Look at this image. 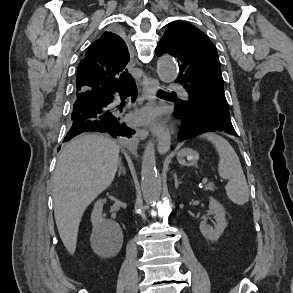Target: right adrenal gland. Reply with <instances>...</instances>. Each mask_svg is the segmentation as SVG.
I'll list each match as a JSON object with an SVG mask.
<instances>
[{
	"mask_svg": "<svg viewBox=\"0 0 293 293\" xmlns=\"http://www.w3.org/2000/svg\"><path fill=\"white\" fill-rule=\"evenodd\" d=\"M121 174H125V168L122 165L121 159L119 160V170H118V176H121Z\"/></svg>",
	"mask_w": 293,
	"mask_h": 293,
	"instance_id": "obj_1",
	"label": "right adrenal gland"
}]
</instances>
